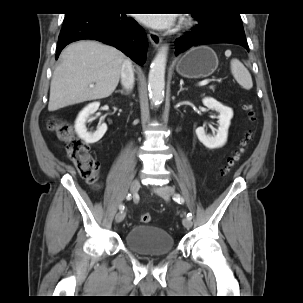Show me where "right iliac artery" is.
<instances>
[{
  "label": "right iliac artery",
  "instance_id": "obj_1",
  "mask_svg": "<svg viewBox=\"0 0 303 303\" xmlns=\"http://www.w3.org/2000/svg\"><path fill=\"white\" fill-rule=\"evenodd\" d=\"M126 199H127V200H130V199H131V194H128L127 197H126ZM124 208H125L124 204H121V205L119 206V209H120L121 212L124 210Z\"/></svg>",
  "mask_w": 303,
  "mask_h": 303
}]
</instances>
